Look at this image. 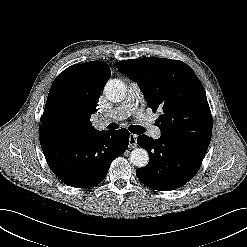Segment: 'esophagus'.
Instances as JSON below:
<instances>
[{"label": "esophagus", "mask_w": 247, "mask_h": 247, "mask_svg": "<svg viewBox=\"0 0 247 247\" xmlns=\"http://www.w3.org/2000/svg\"><path fill=\"white\" fill-rule=\"evenodd\" d=\"M137 147V135L130 134L129 136V148H136Z\"/></svg>", "instance_id": "34e87169"}]
</instances>
